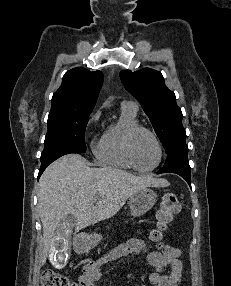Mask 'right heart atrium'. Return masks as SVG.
<instances>
[{
  "label": "right heart atrium",
  "mask_w": 231,
  "mask_h": 286,
  "mask_svg": "<svg viewBox=\"0 0 231 286\" xmlns=\"http://www.w3.org/2000/svg\"><path fill=\"white\" fill-rule=\"evenodd\" d=\"M100 111H97L90 119V123H95L99 120Z\"/></svg>",
  "instance_id": "obj_1"
}]
</instances>
